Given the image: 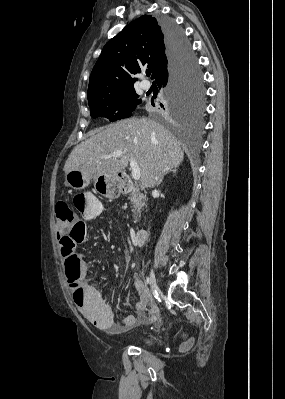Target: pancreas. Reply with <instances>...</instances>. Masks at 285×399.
<instances>
[{"label": "pancreas", "mask_w": 285, "mask_h": 399, "mask_svg": "<svg viewBox=\"0 0 285 399\" xmlns=\"http://www.w3.org/2000/svg\"><path fill=\"white\" fill-rule=\"evenodd\" d=\"M125 195H129V199L133 206L134 222H138L140 218V211L145 206L146 196L140 192V189L135 186H129L124 192Z\"/></svg>", "instance_id": "obj_1"}]
</instances>
